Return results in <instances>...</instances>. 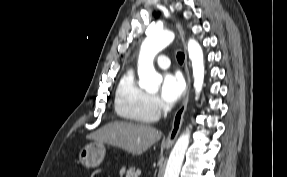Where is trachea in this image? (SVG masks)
Here are the masks:
<instances>
[{
	"mask_svg": "<svg viewBox=\"0 0 287 177\" xmlns=\"http://www.w3.org/2000/svg\"><path fill=\"white\" fill-rule=\"evenodd\" d=\"M184 58H185L184 53H182V52L177 53V60L180 64H182L184 62Z\"/></svg>",
	"mask_w": 287,
	"mask_h": 177,
	"instance_id": "3493384b",
	"label": "trachea"
}]
</instances>
